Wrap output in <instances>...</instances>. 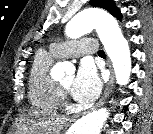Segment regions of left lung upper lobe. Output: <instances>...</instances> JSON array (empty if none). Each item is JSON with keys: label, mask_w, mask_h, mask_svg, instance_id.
<instances>
[{"label": "left lung upper lobe", "mask_w": 153, "mask_h": 134, "mask_svg": "<svg viewBox=\"0 0 153 134\" xmlns=\"http://www.w3.org/2000/svg\"><path fill=\"white\" fill-rule=\"evenodd\" d=\"M90 5L109 11L117 19L121 18V12L112 0H90Z\"/></svg>", "instance_id": "5c2ea615"}]
</instances>
